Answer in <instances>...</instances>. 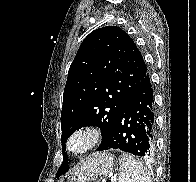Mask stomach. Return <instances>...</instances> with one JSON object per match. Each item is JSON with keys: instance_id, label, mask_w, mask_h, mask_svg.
Masks as SVG:
<instances>
[{"instance_id": "stomach-1", "label": "stomach", "mask_w": 196, "mask_h": 182, "mask_svg": "<svg viewBox=\"0 0 196 182\" xmlns=\"http://www.w3.org/2000/svg\"><path fill=\"white\" fill-rule=\"evenodd\" d=\"M114 167L111 154L98 152L90 155L76 168L67 182H92L107 176Z\"/></svg>"}]
</instances>
